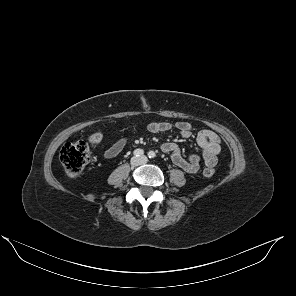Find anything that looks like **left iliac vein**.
<instances>
[{
	"label": "left iliac vein",
	"instance_id": "1",
	"mask_svg": "<svg viewBox=\"0 0 296 296\" xmlns=\"http://www.w3.org/2000/svg\"><path fill=\"white\" fill-rule=\"evenodd\" d=\"M140 159L144 162L146 160V157L142 156Z\"/></svg>",
	"mask_w": 296,
	"mask_h": 296
}]
</instances>
